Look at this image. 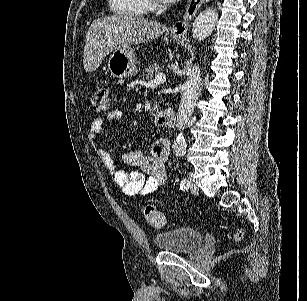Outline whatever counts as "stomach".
<instances>
[{
    "label": "stomach",
    "instance_id": "1",
    "mask_svg": "<svg viewBox=\"0 0 307 301\" xmlns=\"http://www.w3.org/2000/svg\"><path fill=\"white\" fill-rule=\"evenodd\" d=\"M171 40L183 42L184 36H176L171 32ZM108 68L116 78H126L135 76L138 72L135 46L129 44L125 50H114L108 60Z\"/></svg>",
    "mask_w": 307,
    "mask_h": 301
}]
</instances>
